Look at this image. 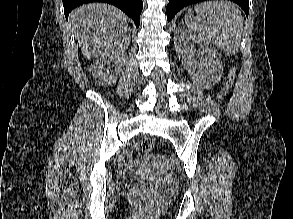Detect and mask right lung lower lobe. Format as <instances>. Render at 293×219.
Wrapping results in <instances>:
<instances>
[{"mask_svg":"<svg viewBox=\"0 0 293 219\" xmlns=\"http://www.w3.org/2000/svg\"><path fill=\"white\" fill-rule=\"evenodd\" d=\"M89 2H106L120 8L130 16L136 27L140 24V14L143 8L142 0H63L64 14L68 18L69 13L76 7Z\"/></svg>","mask_w":293,"mask_h":219,"instance_id":"obj_1","label":"right lung lower lobe"}]
</instances>
